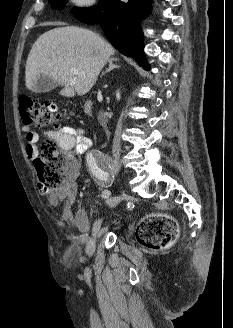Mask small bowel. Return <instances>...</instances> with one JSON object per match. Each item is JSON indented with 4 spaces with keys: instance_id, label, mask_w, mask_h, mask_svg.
I'll use <instances>...</instances> for the list:
<instances>
[{
    "instance_id": "1",
    "label": "small bowel",
    "mask_w": 233,
    "mask_h": 328,
    "mask_svg": "<svg viewBox=\"0 0 233 328\" xmlns=\"http://www.w3.org/2000/svg\"><path fill=\"white\" fill-rule=\"evenodd\" d=\"M26 137V153L29 157H34L37 152V143L40 135L31 130L30 126L23 127ZM42 135L54 140L61 150H74L77 154H83L92 146V140L87 132L79 127L62 126L60 128L43 130ZM40 194L52 206H59L65 219L72 218L71 209L76 199L77 184L75 178L70 179L56 190H46L39 186ZM75 221L79 229L83 230L87 225L85 213L78 210L75 214Z\"/></svg>"
}]
</instances>
